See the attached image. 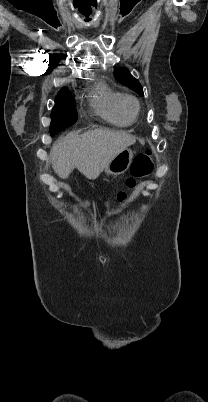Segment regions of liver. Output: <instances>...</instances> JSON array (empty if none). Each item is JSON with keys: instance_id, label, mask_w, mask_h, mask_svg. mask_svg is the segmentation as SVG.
Returning <instances> with one entry per match:
<instances>
[{"instance_id": "1", "label": "liver", "mask_w": 208, "mask_h": 402, "mask_svg": "<svg viewBox=\"0 0 208 402\" xmlns=\"http://www.w3.org/2000/svg\"><path fill=\"white\" fill-rule=\"evenodd\" d=\"M135 142V136L127 132H109L101 128L89 130L81 136L71 132L54 144L52 168L63 180L69 178L74 168L88 180H96L114 156Z\"/></svg>"}]
</instances>
